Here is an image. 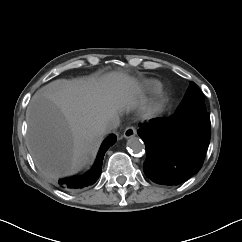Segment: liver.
Wrapping results in <instances>:
<instances>
[{"label": "liver", "instance_id": "6515ba94", "mask_svg": "<svg viewBox=\"0 0 242 242\" xmlns=\"http://www.w3.org/2000/svg\"><path fill=\"white\" fill-rule=\"evenodd\" d=\"M138 86L126 74L55 80L35 93L26 111L27 143L39 170L51 178L90 164L107 120L137 105Z\"/></svg>", "mask_w": 242, "mask_h": 242}]
</instances>
